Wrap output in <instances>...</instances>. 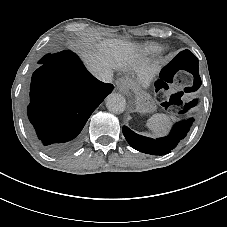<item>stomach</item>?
<instances>
[{
	"label": "stomach",
	"mask_w": 227,
	"mask_h": 227,
	"mask_svg": "<svg viewBox=\"0 0 227 227\" xmlns=\"http://www.w3.org/2000/svg\"><path fill=\"white\" fill-rule=\"evenodd\" d=\"M125 81L130 82V87L127 90H124V92H128L130 89H132L136 95V110L141 113H150L156 110V104L155 100L152 98V96L143 90L142 88H136L134 86V81H131L129 79H121Z\"/></svg>",
	"instance_id": "0dacf381"
}]
</instances>
